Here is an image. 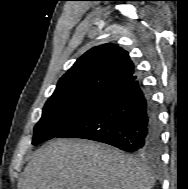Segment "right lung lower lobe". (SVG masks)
Wrapping results in <instances>:
<instances>
[{
    "mask_svg": "<svg viewBox=\"0 0 188 189\" xmlns=\"http://www.w3.org/2000/svg\"><path fill=\"white\" fill-rule=\"evenodd\" d=\"M56 137L89 139L145 154L159 149L160 124L151 95L135 80L107 94Z\"/></svg>",
    "mask_w": 188,
    "mask_h": 189,
    "instance_id": "right-lung-lower-lobe-1",
    "label": "right lung lower lobe"
}]
</instances>
